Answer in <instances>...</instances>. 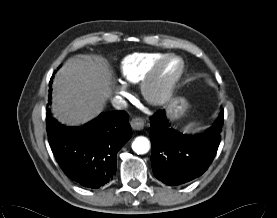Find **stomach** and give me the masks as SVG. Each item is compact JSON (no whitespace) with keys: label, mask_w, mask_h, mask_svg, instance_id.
Wrapping results in <instances>:
<instances>
[{"label":"stomach","mask_w":277,"mask_h":218,"mask_svg":"<svg viewBox=\"0 0 277 218\" xmlns=\"http://www.w3.org/2000/svg\"><path fill=\"white\" fill-rule=\"evenodd\" d=\"M187 107L188 103L184 98L176 97L167 105V115L172 121H174L184 115Z\"/></svg>","instance_id":"1"}]
</instances>
